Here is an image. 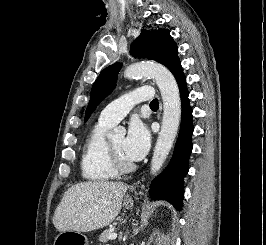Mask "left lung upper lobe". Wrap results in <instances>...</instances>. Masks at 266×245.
<instances>
[{"label":"left lung upper lobe","instance_id":"1","mask_svg":"<svg viewBox=\"0 0 266 245\" xmlns=\"http://www.w3.org/2000/svg\"><path fill=\"white\" fill-rule=\"evenodd\" d=\"M131 53L140 58L157 61L169 70L179 61L178 48L168 29H143L133 42ZM121 64L116 63L106 67L98 76L91 89V97L85 113V120L95 110L96 106L114 89L117 74Z\"/></svg>","mask_w":266,"mask_h":245}]
</instances>
